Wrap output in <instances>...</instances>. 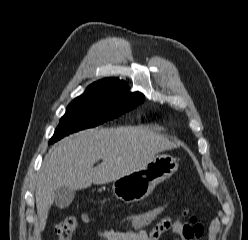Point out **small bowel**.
I'll return each instance as SVG.
<instances>
[{"instance_id":"obj_1","label":"small bowel","mask_w":248,"mask_h":240,"mask_svg":"<svg viewBox=\"0 0 248 240\" xmlns=\"http://www.w3.org/2000/svg\"><path fill=\"white\" fill-rule=\"evenodd\" d=\"M172 232L181 240H200L204 234L203 226L194 216L162 217L151 228H143L138 231L103 230L99 233L102 240H159L167 232Z\"/></svg>"}]
</instances>
